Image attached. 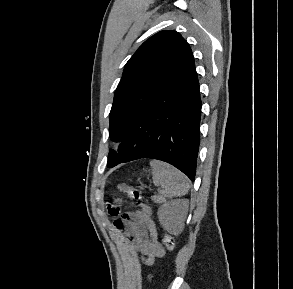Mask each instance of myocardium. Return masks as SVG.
<instances>
[{
    "label": "myocardium",
    "mask_w": 293,
    "mask_h": 289,
    "mask_svg": "<svg viewBox=\"0 0 293 289\" xmlns=\"http://www.w3.org/2000/svg\"><path fill=\"white\" fill-rule=\"evenodd\" d=\"M119 145H120V142H117V143L115 144V147L117 148V147H119Z\"/></svg>",
    "instance_id": "myocardium-1"
}]
</instances>
